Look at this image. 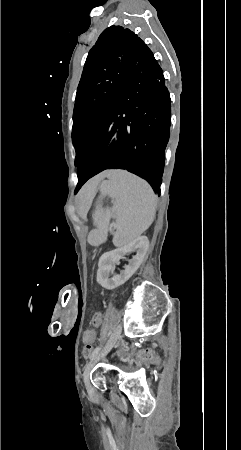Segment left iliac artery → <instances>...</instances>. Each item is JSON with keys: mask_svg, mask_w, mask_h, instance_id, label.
<instances>
[{"mask_svg": "<svg viewBox=\"0 0 241 450\" xmlns=\"http://www.w3.org/2000/svg\"><path fill=\"white\" fill-rule=\"evenodd\" d=\"M109 334H110V333H109ZM100 349H101V345L97 346V347L94 349V351L92 352L90 358L93 359V358L99 353Z\"/></svg>", "mask_w": 241, "mask_h": 450, "instance_id": "left-iliac-artery-1", "label": "left iliac artery"}]
</instances>
